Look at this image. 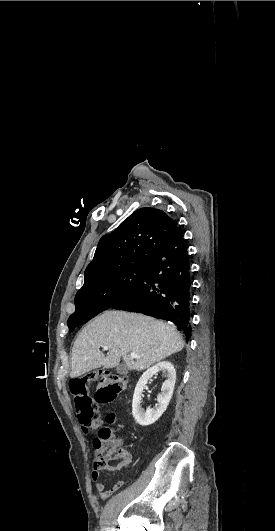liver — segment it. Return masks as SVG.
Masks as SVG:
<instances>
[{
	"label": "liver",
	"mask_w": 275,
	"mask_h": 531,
	"mask_svg": "<svg viewBox=\"0 0 275 531\" xmlns=\"http://www.w3.org/2000/svg\"><path fill=\"white\" fill-rule=\"evenodd\" d=\"M100 347H108L105 357ZM184 349V341L174 325L139 313L105 311L90 321L72 349L70 377H81L92 369L118 367L121 357L129 371H144ZM136 353L141 359H132Z\"/></svg>",
	"instance_id": "6515ba94"
}]
</instances>
